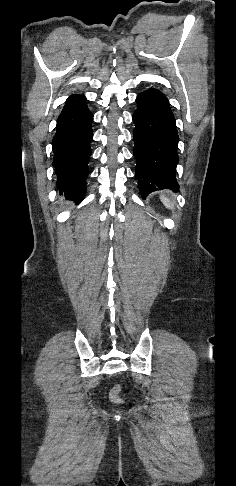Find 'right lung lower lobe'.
Instances as JSON below:
<instances>
[{
  "label": "right lung lower lobe",
  "instance_id": "right-lung-lower-lobe-1",
  "mask_svg": "<svg viewBox=\"0 0 236 486\" xmlns=\"http://www.w3.org/2000/svg\"><path fill=\"white\" fill-rule=\"evenodd\" d=\"M93 114L86 105L84 95L70 96L57 120L52 141L53 166L57 175V188L66 199L80 202L86 193L87 161L93 131Z\"/></svg>",
  "mask_w": 236,
  "mask_h": 486
}]
</instances>
